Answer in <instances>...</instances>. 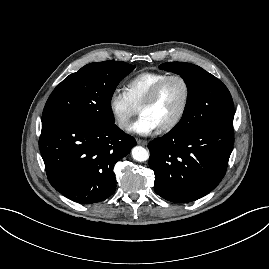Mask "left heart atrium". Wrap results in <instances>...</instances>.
Returning a JSON list of instances; mask_svg holds the SVG:
<instances>
[{"label": "left heart atrium", "mask_w": 269, "mask_h": 269, "mask_svg": "<svg viewBox=\"0 0 269 269\" xmlns=\"http://www.w3.org/2000/svg\"><path fill=\"white\" fill-rule=\"evenodd\" d=\"M157 129V124L148 116L142 114L130 127L131 132L142 136L149 135Z\"/></svg>", "instance_id": "left-heart-atrium-1"}]
</instances>
